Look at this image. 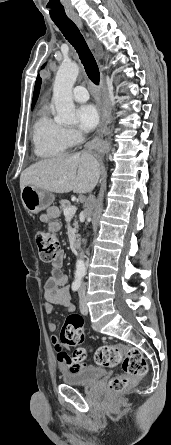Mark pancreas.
<instances>
[{
  "instance_id": "cf45deb5",
  "label": "pancreas",
  "mask_w": 171,
  "mask_h": 445,
  "mask_svg": "<svg viewBox=\"0 0 171 445\" xmlns=\"http://www.w3.org/2000/svg\"><path fill=\"white\" fill-rule=\"evenodd\" d=\"M70 206H71V203L68 200H61L60 201V209L62 211H64L66 208H68ZM74 227H75V229H78V223H77L76 220L74 222Z\"/></svg>"
}]
</instances>
